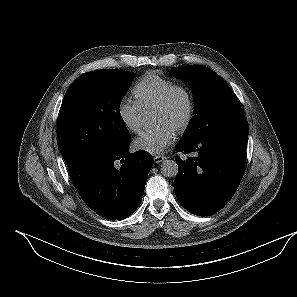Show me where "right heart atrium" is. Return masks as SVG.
I'll use <instances>...</instances> for the list:
<instances>
[{
	"mask_svg": "<svg viewBox=\"0 0 297 297\" xmlns=\"http://www.w3.org/2000/svg\"><path fill=\"white\" fill-rule=\"evenodd\" d=\"M116 110L125 128L132 132H137L140 129L142 110L135 100L128 96L121 97Z\"/></svg>",
	"mask_w": 297,
	"mask_h": 297,
	"instance_id": "right-heart-atrium-1",
	"label": "right heart atrium"
}]
</instances>
